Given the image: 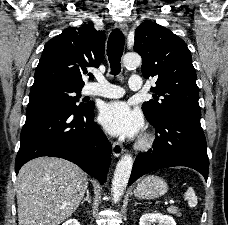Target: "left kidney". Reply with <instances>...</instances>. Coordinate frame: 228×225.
Segmentation results:
<instances>
[{"instance_id":"5707ae66","label":"left kidney","mask_w":228,"mask_h":225,"mask_svg":"<svg viewBox=\"0 0 228 225\" xmlns=\"http://www.w3.org/2000/svg\"><path fill=\"white\" fill-rule=\"evenodd\" d=\"M151 223L176 225L173 217H170V215H161V213H145V215H142L139 225H151Z\"/></svg>"}]
</instances>
